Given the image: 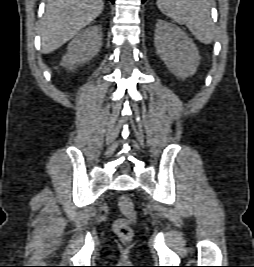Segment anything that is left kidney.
<instances>
[{
  "instance_id": "obj_1",
  "label": "left kidney",
  "mask_w": 254,
  "mask_h": 267,
  "mask_svg": "<svg viewBox=\"0 0 254 267\" xmlns=\"http://www.w3.org/2000/svg\"><path fill=\"white\" fill-rule=\"evenodd\" d=\"M154 36L156 53L175 76L185 79L196 73L200 63L199 51L183 30L158 20Z\"/></svg>"
}]
</instances>
